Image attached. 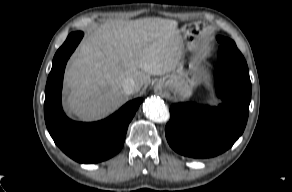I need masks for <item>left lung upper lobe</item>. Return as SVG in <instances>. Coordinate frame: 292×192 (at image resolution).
<instances>
[{
  "label": "left lung upper lobe",
  "instance_id": "left-lung-upper-lobe-1",
  "mask_svg": "<svg viewBox=\"0 0 292 192\" xmlns=\"http://www.w3.org/2000/svg\"><path fill=\"white\" fill-rule=\"evenodd\" d=\"M217 40L223 46L236 47L235 42L233 40H231V39L219 36V37H217Z\"/></svg>",
  "mask_w": 292,
  "mask_h": 192
}]
</instances>
